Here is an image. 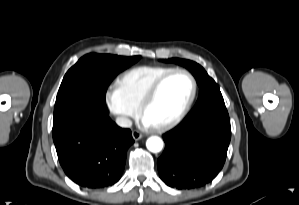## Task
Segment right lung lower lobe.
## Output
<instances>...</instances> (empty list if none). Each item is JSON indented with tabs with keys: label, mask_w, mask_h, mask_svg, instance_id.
I'll return each instance as SVG.
<instances>
[{
	"label": "right lung lower lobe",
	"mask_w": 299,
	"mask_h": 205,
	"mask_svg": "<svg viewBox=\"0 0 299 205\" xmlns=\"http://www.w3.org/2000/svg\"><path fill=\"white\" fill-rule=\"evenodd\" d=\"M52 136L66 175L91 189L119 181L127 150L134 143L131 131L118 127L106 107L91 104L81 105L54 121Z\"/></svg>",
	"instance_id": "98d812e1"
}]
</instances>
